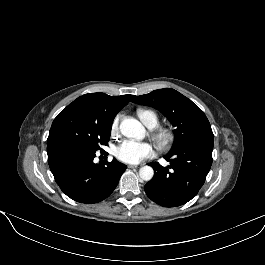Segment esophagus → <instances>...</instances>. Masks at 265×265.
I'll return each instance as SVG.
<instances>
[{
    "instance_id": "esophagus-1",
    "label": "esophagus",
    "mask_w": 265,
    "mask_h": 265,
    "mask_svg": "<svg viewBox=\"0 0 265 265\" xmlns=\"http://www.w3.org/2000/svg\"><path fill=\"white\" fill-rule=\"evenodd\" d=\"M141 165H128L129 168H138Z\"/></svg>"
}]
</instances>
